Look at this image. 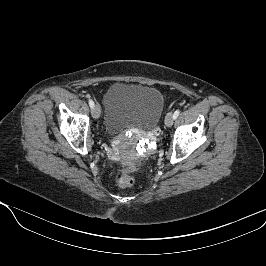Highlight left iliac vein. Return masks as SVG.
I'll return each instance as SVG.
<instances>
[{
    "label": "left iliac vein",
    "mask_w": 266,
    "mask_h": 266,
    "mask_svg": "<svg viewBox=\"0 0 266 266\" xmlns=\"http://www.w3.org/2000/svg\"><path fill=\"white\" fill-rule=\"evenodd\" d=\"M174 118L172 113H168L165 117V125L171 127L173 125Z\"/></svg>",
    "instance_id": "left-iliac-vein-1"
}]
</instances>
